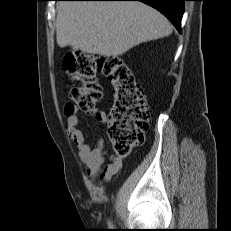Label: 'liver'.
Listing matches in <instances>:
<instances>
[{
    "instance_id": "1",
    "label": "liver",
    "mask_w": 231,
    "mask_h": 231,
    "mask_svg": "<svg viewBox=\"0 0 231 231\" xmlns=\"http://www.w3.org/2000/svg\"><path fill=\"white\" fill-rule=\"evenodd\" d=\"M168 19L135 1H61L56 18L60 47L117 57L140 43L169 36Z\"/></svg>"
}]
</instances>
